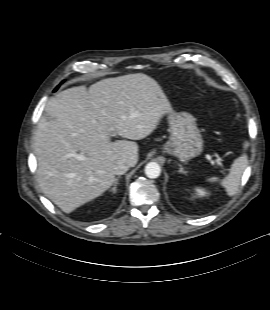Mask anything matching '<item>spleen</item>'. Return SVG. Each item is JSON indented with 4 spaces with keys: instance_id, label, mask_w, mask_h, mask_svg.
I'll return each instance as SVG.
<instances>
[{
    "instance_id": "3e777b00",
    "label": "spleen",
    "mask_w": 270,
    "mask_h": 310,
    "mask_svg": "<svg viewBox=\"0 0 270 310\" xmlns=\"http://www.w3.org/2000/svg\"><path fill=\"white\" fill-rule=\"evenodd\" d=\"M248 159L246 154H242L240 157L236 158L231 167L229 174L221 180L222 186L225 188L227 194L229 196H233L237 193L241 177L245 168L247 167ZM207 181L209 182H216L218 181L217 177L208 178Z\"/></svg>"
}]
</instances>
